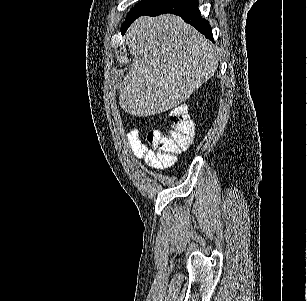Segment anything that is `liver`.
<instances>
[{
  "mask_svg": "<svg viewBox=\"0 0 307 301\" xmlns=\"http://www.w3.org/2000/svg\"><path fill=\"white\" fill-rule=\"evenodd\" d=\"M125 36L133 62L120 84L119 104L134 116L175 108L218 68V48L176 14L139 16Z\"/></svg>",
  "mask_w": 307,
  "mask_h": 301,
  "instance_id": "6515ba94",
  "label": "liver"
}]
</instances>
